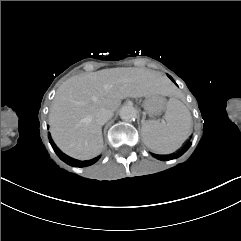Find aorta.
Returning a JSON list of instances; mask_svg holds the SVG:
<instances>
[{"instance_id":"obj_1","label":"aorta","mask_w":241,"mask_h":241,"mask_svg":"<svg viewBox=\"0 0 241 241\" xmlns=\"http://www.w3.org/2000/svg\"><path fill=\"white\" fill-rule=\"evenodd\" d=\"M120 118L126 122L134 121L137 118V110L132 105L123 106L120 110Z\"/></svg>"}]
</instances>
